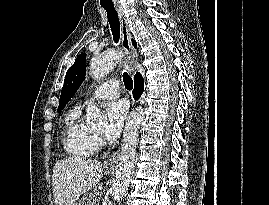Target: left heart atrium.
<instances>
[{
  "label": "left heart atrium",
  "mask_w": 269,
  "mask_h": 205,
  "mask_svg": "<svg viewBox=\"0 0 269 205\" xmlns=\"http://www.w3.org/2000/svg\"><path fill=\"white\" fill-rule=\"evenodd\" d=\"M128 112L125 101L119 100L109 104L104 135L108 140H115L121 133Z\"/></svg>",
  "instance_id": "obj_1"
}]
</instances>
